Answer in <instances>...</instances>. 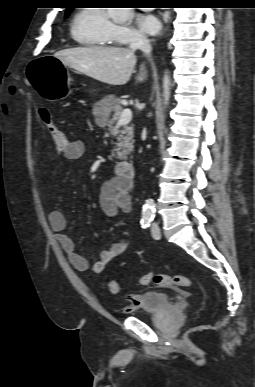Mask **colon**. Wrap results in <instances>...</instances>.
<instances>
[{"mask_svg":"<svg viewBox=\"0 0 255 387\" xmlns=\"http://www.w3.org/2000/svg\"><path fill=\"white\" fill-rule=\"evenodd\" d=\"M39 117L43 125L49 131L52 141L59 153H63L67 150L69 140L65 133L61 131L54 123L51 112L45 108L40 107L38 109ZM139 284L142 286L155 285V286H168V287H185L191 288L193 282L182 275H168V274H144L139 277ZM106 288L111 294H118L120 292L119 283L114 279H108L106 281Z\"/></svg>","mask_w":255,"mask_h":387,"instance_id":"colon-1","label":"colon"}]
</instances>
